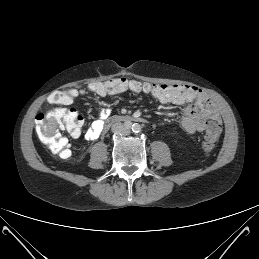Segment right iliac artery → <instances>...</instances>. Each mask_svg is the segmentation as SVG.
Returning <instances> with one entry per match:
<instances>
[{"label": "right iliac artery", "instance_id": "obj_1", "mask_svg": "<svg viewBox=\"0 0 259 259\" xmlns=\"http://www.w3.org/2000/svg\"><path fill=\"white\" fill-rule=\"evenodd\" d=\"M127 127H128V128H131V124H127Z\"/></svg>", "mask_w": 259, "mask_h": 259}]
</instances>
